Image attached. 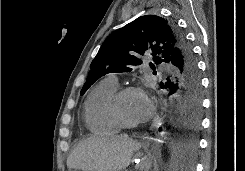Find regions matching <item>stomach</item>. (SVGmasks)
<instances>
[{
    "mask_svg": "<svg viewBox=\"0 0 245 171\" xmlns=\"http://www.w3.org/2000/svg\"><path fill=\"white\" fill-rule=\"evenodd\" d=\"M135 161L137 164V167L141 171H148L152 165V161L148 159L147 157L143 156V153H138L135 156ZM70 171H76V170H70Z\"/></svg>",
    "mask_w": 245,
    "mask_h": 171,
    "instance_id": "stomach-1",
    "label": "stomach"
}]
</instances>
